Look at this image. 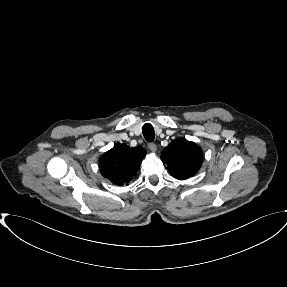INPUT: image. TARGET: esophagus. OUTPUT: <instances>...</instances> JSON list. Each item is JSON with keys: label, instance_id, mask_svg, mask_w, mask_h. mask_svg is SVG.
<instances>
[{"label": "esophagus", "instance_id": "1", "mask_svg": "<svg viewBox=\"0 0 287 287\" xmlns=\"http://www.w3.org/2000/svg\"><path fill=\"white\" fill-rule=\"evenodd\" d=\"M148 148L150 149V151L152 152H156L157 151V145L155 143H149L148 144Z\"/></svg>", "mask_w": 287, "mask_h": 287}]
</instances>
